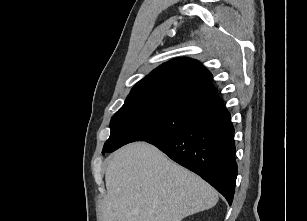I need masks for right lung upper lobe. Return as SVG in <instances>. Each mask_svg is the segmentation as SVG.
Wrapping results in <instances>:
<instances>
[{"label": "right lung upper lobe", "instance_id": "right-lung-upper-lobe-1", "mask_svg": "<svg viewBox=\"0 0 307 221\" xmlns=\"http://www.w3.org/2000/svg\"><path fill=\"white\" fill-rule=\"evenodd\" d=\"M211 73L189 58L171 60L140 80L125 102L169 100L187 102L212 109L223 104L211 84Z\"/></svg>", "mask_w": 307, "mask_h": 221}]
</instances>
